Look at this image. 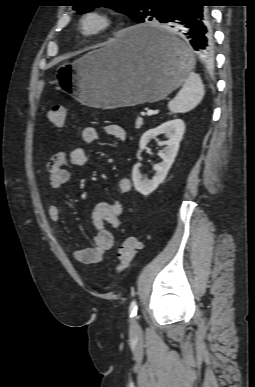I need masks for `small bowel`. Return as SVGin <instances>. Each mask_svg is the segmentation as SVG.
I'll return each mask as SVG.
<instances>
[{"mask_svg":"<svg viewBox=\"0 0 255 387\" xmlns=\"http://www.w3.org/2000/svg\"><path fill=\"white\" fill-rule=\"evenodd\" d=\"M104 131L119 141H125L126 131L117 124H108ZM81 138L85 144H93L98 139V130L93 126H86L81 131ZM87 153L83 148H74L70 152L58 151L48 161L46 171L49 186L52 189H60L70 180V172L64 167L69 161L71 164L81 166L87 162ZM132 188L131 180L122 177L118 181V189L121 193H128ZM123 213V204L120 200L113 199L96 204L92 212V223L95 228L93 245L87 248H75L74 258L83 264H95L102 260L105 252L113 246L114 233L107 228L118 229L121 224L120 217ZM48 216L51 221L60 218V207L57 204L50 205Z\"/></svg>","mask_w":255,"mask_h":387,"instance_id":"small-bowel-1","label":"small bowel"}]
</instances>
